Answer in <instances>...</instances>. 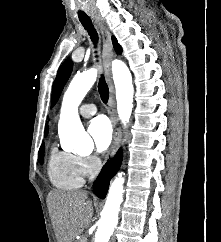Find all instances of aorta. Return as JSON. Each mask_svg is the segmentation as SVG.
I'll list each match as a JSON object with an SVG mask.
<instances>
[{
    "instance_id": "762f6f07",
    "label": "aorta",
    "mask_w": 221,
    "mask_h": 242,
    "mask_svg": "<svg viewBox=\"0 0 221 242\" xmlns=\"http://www.w3.org/2000/svg\"><path fill=\"white\" fill-rule=\"evenodd\" d=\"M98 71L91 68L75 75L64 94L58 130L68 150L83 153L93 147L90 136L85 132L78 115V107L96 81ZM112 74L116 89L117 111L126 125L132 113L134 87L132 75L127 65L120 61L112 62ZM124 177L119 174L109 188L106 203L95 234V242H108L118 223V213L123 201Z\"/></svg>"
}]
</instances>
